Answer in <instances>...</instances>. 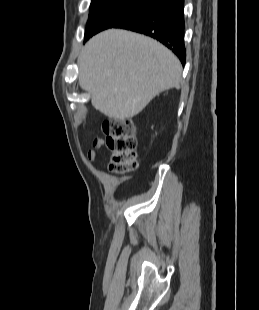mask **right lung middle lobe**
<instances>
[{"instance_id": "obj_1", "label": "right lung middle lobe", "mask_w": 259, "mask_h": 310, "mask_svg": "<svg viewBox=\"0 0 259 310\" xmlns=\"http://www.w3.org/2000/svg\"><path fill=\"white\" fill-rule=\"evenodd\" d=\"M158 0H108L90 6L85 40L102 30L116 27L129 17L148 9Z\"/></svg>"}]
</instances>
